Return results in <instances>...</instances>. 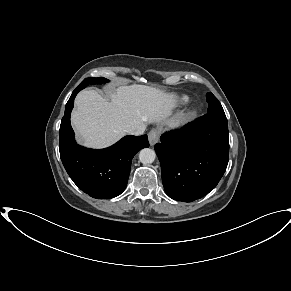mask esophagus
Here are the masks:
<instances>
[{
	"label": "esophagus",
	"instance_id": "34e87169",
	"mask_svg": "<svg viewBox=\"0 0 291 291\" xmlns=\"http://www.w3.org/2000/svg\"><path fill=\"white\" fill-rule=\"evenodd\" d=\"M160 130L159 129H152L148 134L149 143L154 145L158 142L160 137Z\"/></svg>",
	"mask_w": 291,
	"mask_h": 291
}]
</instances>
